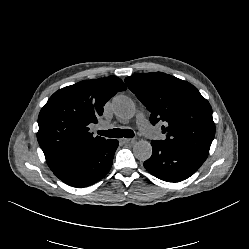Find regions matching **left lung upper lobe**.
Instances as JSON below:
<instances>
[{"instance_id":"obj_1","label":"left lung upper lobe","mask_w":249,"mask_h":249,"mask_svg":"<svg viewBox=\"0 0 249 249\" xmlns=\"http://www.w3.org/2000/svg\"><path fill=\"white\" fill-rule=\"evenodd\" d=\"M125 83L151 113L150 122L164 123L160 142L208 155L215 136L212 108L192 84L162 72L129 76Z\"/></svg>"}]
</instances>
